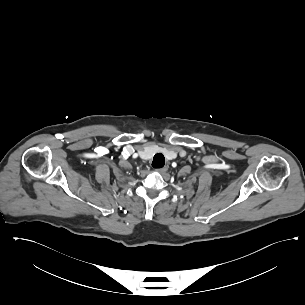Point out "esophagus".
Masks as SVG:
<instances>
[{"instance_id": "34e87169", "label": "esophagus", "mask_w": 305, "mask_h": 305, "mask_svg": "<svg viewBox=\"0 0 305 305\" xmlns=\"http://www.w3.org/2000/svg\"><path fill=\"white\" fill-rule=\"evenodd\" d=\"M167 170H168L167 166L155 169V171L158 173H165Z\"/></svg>"}]
</instances>
